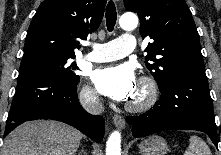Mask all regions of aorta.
<instances>
[{
    "mask_svg": "<svg viewBox=\"0 0 221 155\" xmlns=\"http://www.w3.org/2000/svg\"><path fill=\"white\" fill-rule=\"evenodd\" d=\"M120 27L126 31L135 29L138 18L133 14H124L119 20ZM106 155H121V134L114 131L110 134L106 144Z\"/></svg>",
    "mask_w": 221,
    "mask_h": 155,
    "instance_id": "aorta-1",
    "label": "aorta"
}]
</instances>
